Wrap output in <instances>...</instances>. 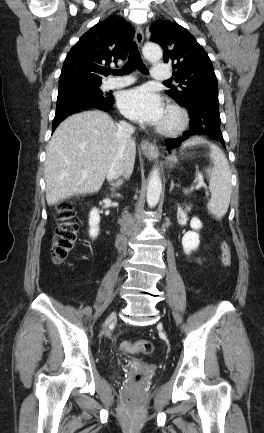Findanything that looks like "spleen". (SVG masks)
I'll use <instances>...</instances> for the list:
<instances>
[{"mask_svg":"<svg viewBox=\"0 0 264 433\" xmlns=\"http://www.w3.org/2000/svg\"><path fill=\"white\" fill-rule=\"evenodd\" d=\"M199 144H207L210 149V159L213 167L206 169L209 176V189L211 199L207 205L208 210L218 219L227 212L232 192L231 171L229 163L223 151L215 144L202 137H193L183 143L182 148Z\"/></svg>","mask_w":264,"mask_h":433,"instance_id":"obj_1","label":"spleen"}]
</instances>
